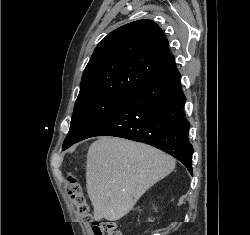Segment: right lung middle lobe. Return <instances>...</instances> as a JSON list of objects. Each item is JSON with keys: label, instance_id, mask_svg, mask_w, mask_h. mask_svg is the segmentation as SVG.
Returning <instances> with one entry per match:
<instances>
[{"label": "right lung middle lobe", "instance_id": "1", "mask_svg": "<svg viewBox=\"0 0 250 235\" xmlns=\"http://www.w3.org/2000/svg\"><path fill=\"white\" fill-rule=\"evenodd\" d=\"M133 94L95 93L77 99L63 150L76 143L88 130L120 108Z\"/></svg>", "mask_w": 250, "mask_h": 235}]
</instances>
